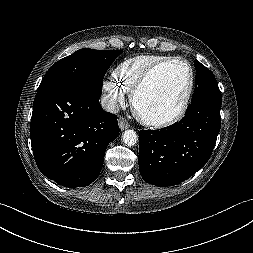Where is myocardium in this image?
<instances>
[{"instance_id":"obj_1","label":"myocardium","mask_w":253,"mask_h":253,"mask_svg":"<svg viewBox=\"0 0 253 253\" xmlns=\"http://www.w3.org/2000/svg\"><path fill=\"white\" fill-rule=\"evenodd\" d=\"M173 63H182L184 64L189 72V85L187 88V91L185 93V96L183 98V101L179 107V109L171 116L162 118V119H151V118H146L142 115L139 114L138 109H137V100L138 97L141 93V91L144 89V87L147 85L151 77L161 68L168 66ZM195 87V72L192 64L185 58L183 57H173L169 58L167 60L158 62L154 65H152L150 68H148L145 73L141 76L137 84L135 85L132 93H131V106L136 114L137 118L144 124L150 127H155V128H163V127H168L171 125L176 124L179 122L186 114L190 101L193 95Z\"/></svg>"}]
</instances>
